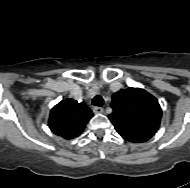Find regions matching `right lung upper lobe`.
<instances>
[{"label": "right lung upper lobe", "instance_id": "right-lung-upper-lobe-1", "mask_svg": "<svg viewBox=\"0 0 190 188\" xmlns=\"http://www.w3.org/2000/svg\"><path fill=\"white\" fill-rule=\"evenodd\" d=\"M92 117V111L83 102L67 99L52 108L48 123L53 133L69 140L80 135Z\"/></svg>", "mask_w": 190, "mask_h": 188}]
</instances>
